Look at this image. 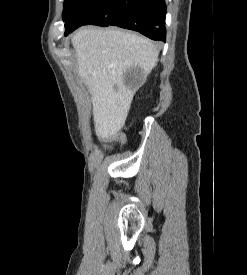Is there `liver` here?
<instances>
[{
  "label": "liver",
  "instance_id": "6515ba94",
  "mask_svg": "<svg viewBox=\"0 0 247 275\" xmlns=\"http://www.w3.org/2000/svg\"><path fill=\"white\" fill-rule=\"evenodd\" d=\"M71 42L78 74L92 95L95 133L99 138L112 137L124 126L139 87H128L124 73L138 67L146 78L157 62L159 50L143 36L114 28H83Z\"/></svg>",
  "mask_w": 247,
  "mask_h": 275
}]
</instances>
